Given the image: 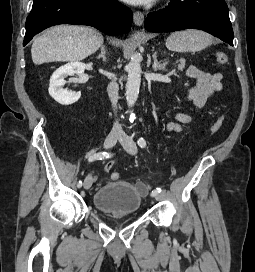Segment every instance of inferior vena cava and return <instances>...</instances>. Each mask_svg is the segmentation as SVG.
Listing matches in <instances>:
<instances>
[{
	"mask_svg": "<svg viewBox=\"0 0 255 272\" xmlns=\"http://www.w3.org/2000/svg\"><path fill=\"white\" fill-rule=\"evenodd\" d=\"M107 93L112 103L113 108H117V101H118V84L115 80L111 81L107 87ZM112 133L120 135L123 133L121 125L116 121L113 124Z\"/></svg>",
	"mask_w": 255,
	"mask_h": 272,
	"instance_id": "602c4592",
	"label": "inferior vena cava"
}]
</instances>
